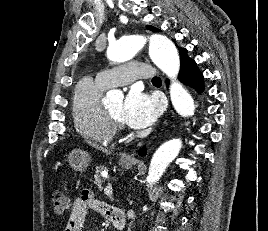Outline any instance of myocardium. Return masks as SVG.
<instances>
[{
    "instance_id": "f54148a6",
    "label": "myocardium",
    "mask_w": 268,
    "mask_h": 231,
    "mask_svg": "<svg viewBox=\"0 0 268 231\" xmlns=\"http://www.w3.org/2000/svg\"><path fill=\"white\" fill-rule=\"evenodd\" d=\"M105 111L110 123L112 124L115 130L127 131L126 126L120 119L115 117L108 109H105Z\"/></svg>"
}]
</instances>
